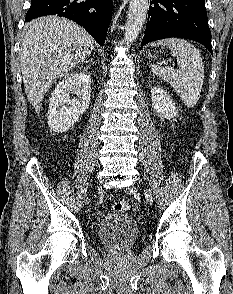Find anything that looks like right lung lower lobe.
<instances>
[{"label":"right lung lower lobe","mask_w":233,"mask_h":294,"mask_svg":"<svg viewBox=\"0 0 233 294\" xmlns=\"http://www.w3.org/2000/svg\"><path fill=\"white\" fill-rule=\"evenodd\" d=\"M57 15L83 26L100 44L104 45L112 17L111 0H32L25 21L37 17Z\"/></svg>","instance_id":"1"}]
</instances>
